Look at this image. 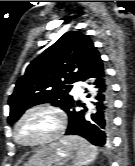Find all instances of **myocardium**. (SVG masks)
<instances>
[{"label":"myocardium","instance_id":"myocardium-1","mask_svg":"<svg viewBox=\"0 0 135 166\" xmlns=\"http://www.w3.org/2000/svg\"><path fill=\"white\" fill-rule=\"evenodd\" d=\"M49 112L52 113L55 118H56V128L55 130L48 136L34 141V142H23L18 138L17 131L18 127L20 124L31 114L36 113V112ZM65 115L64 112L62 111L61 108L50 104V103H42V104H37L34 106L29 107L27 110H25L22 115L16 120L14 126H13V139L14 141L24 147H36V146H41L45 144H49L55 140H57L63 133L65 129Z\"/></svg>","mask_w":135,"mask_h":166}]
</instances>
